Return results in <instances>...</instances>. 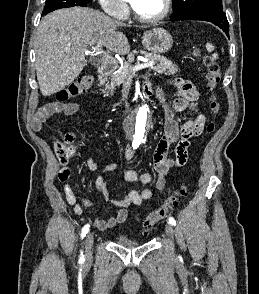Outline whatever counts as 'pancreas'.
<instances>
[{"label": "pancreas", "instance_id": "pancreas-1", "mask_svg": "<svg viewBox=\"0 0 259 294\" xmlns=\"http://www.w3.org/2000/svg\"><path fill=\"white\" fill-rule=\"evenodd\" d=\"M136 53L137 52L129 54L128 61L124 63L123 67L120 68L119 71H117L116 73L112 74L110 78V84H108L106 88L107 93H110L112 95L114 89L117 86H120L133 73L131 62L134 61V55ZM140 54L149 61L156 63V65L152 66L151 69L158 74H165L169 76L179 72L178 67L165 57L147 53L145 51H141Z\"/></svg>", "mask_w": 259, "mask_h": 294}]
</instances>
